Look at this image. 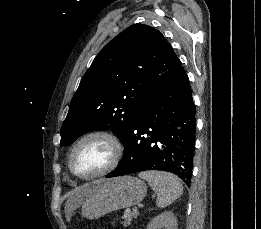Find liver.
I'll use <instances>...</instances> for the list:
<instances>
[{"instance_id":"obj_1","label":"liver","mask_w":261,"mask_h":229,"mask_svg":"<svg viewBox=\"0 0 261 229\" xmlns=\"http://www.w3.org/2000/svg\"><path fill=\"white\" fill-rule=\"evenodd\" d=\"M89 197V189L87 187H80V189H76V191H72L71 199H69V205H72V209H76L77 203L79 201H85Z\"/></svg>"}]
</instances>
